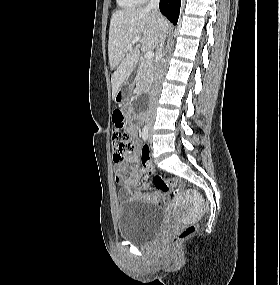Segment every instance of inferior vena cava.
I'll return each instance as SVG.
<instances>
[{"label":"inferior vena cava","instance_id":"inferior-vena-cava-1","mask_svg":"<svg viewBox=\"0 0 280 285\" xmlns=\"http://www.w3.org/2000/svg\"><path fill=\"white\" fill-rule=\"evenodd\" d=\"M146 8L148 10H153L157 14H159L158 12L159 0H150ZM165 40H166V33H163L159 38V46L156 52V57L158 60L154 68V79H153V84H152V88L150 91V97H149V109L146 115V120L149 124H151L155 118V104L157 103L158 96L161 90V80H162L163 71H164L162 53H163Z\"/></svg>","mask_w":280,"mask_h":285}]
</instances>
